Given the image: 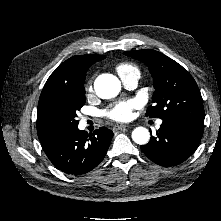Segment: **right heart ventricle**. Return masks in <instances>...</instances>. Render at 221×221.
Segmentation results:
<instances>
[{
    "label": "right heart ventricle",
    "mask_w": 221,
    "mask_h": 221,
    "mask_svg": "<svg viewBox=\"0 0 221 221\" xmlns=\"http://www.w3.org/2000/svg\"><path fill=\"white\" fill-rule=\"evenodd\" d=\"M117 72L119 75H124V74H128L131 72H136L139 73L138 68L130 63H121L117 66Z\"/></svg>",
    "instance_id": "1"
}]
</instances>
